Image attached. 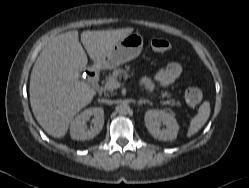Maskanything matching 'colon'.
Instances as JSON below:
<instances>
[{"instance_id": "obj_1", "label": "colon", "mask_w": 249, "mask_h": 188, "mask_svg": "<svg viewBox=\"0 0 249 188\" xmlns=\"http://www.w3.org/2000/svg\"><path fill=\"white\" fill-rule=\"evenodd\" d=\"M150 45L157 52H165L170 48L169 41L163 38L152 39ZM185 98L189 105L197 106L202 100V93L197 88H188L185 92Z\"/></svg>"}]
</instances>
